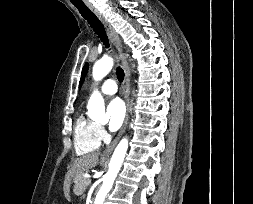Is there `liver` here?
<instances>
[{"label": "liver", "instance_id": "obj_1", "mask_svg": "<svg viewBox=\"0 0 253 204\" xmlns=\"http://www.w3.org/2000/svg\"><path fill=\"white\" fill-rule=\"evenodd\" d=\"M99 159V153H89L83 155L82 157L76 158L73 161V165L71 169L68 171L64 183V191L66 197H68V190H69V181L72 177H76L83 173L84 171H88L89 169L94 168Z\"/></svg>", "mask_w": 253, "mask_h": 204}]
</instances>
